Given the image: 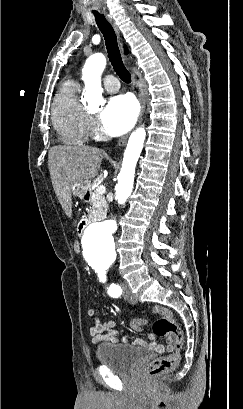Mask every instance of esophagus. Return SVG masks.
<instances>
[{
  "mask_svg": "<svg viewBox=\"0 0 243 409\" xmlns=\"http://www.w3.org/2000/svg\"><path fill=\"white\" fill-rule=\"evenodd\" d=\"M106 15H107L109 21L111 22L114 30L116 31V33L118 35L119 43H120L121 49L123 51L121 38H120V31H119L116 23L112 19V17L109 14H106ZM123 57H124V60L126 61V63H128V59L126 58V56L124 54H123ZM136 87H137V90H138V99H139V102H140V113H139V120H138V123H140V121L142 119V116H143V113H144V110H145V98H144V94H143V91H142L141 87L137 83H136ZM127 139H128V135L123 136L122 138L119 139L117 145L119 147L124 146L126 144V142H127Z\"/></svg>",
  "mask_w": 243,
  "mask_h": 409,
  "instance_id": "34e87169",
  "label": "esophagus"
}]
</instances>
